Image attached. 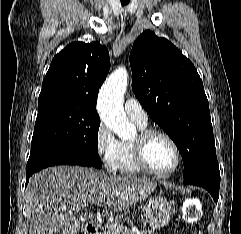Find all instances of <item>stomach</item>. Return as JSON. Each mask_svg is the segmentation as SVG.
<instances>
[{"instance_id":"obj_1","label":"stomach","mask_w":241,"mask_h":234,"mask_svg":"<svg viewBox=\"0 0 241 234\" xmlns=\"http://www.w3.org/2000/svg\"><path fill=\"white\" fill-rule=\"evenodd\" d=\"M144 217L152 229L164 227L173 214V205L162 196L149 198L143 205Z\"/></svg>"}]
</instances>
